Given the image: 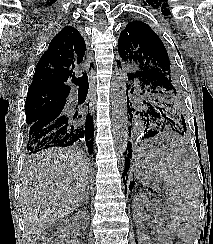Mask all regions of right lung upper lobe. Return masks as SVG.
Here are the masks:
<instances>
[{
    "instance_id": "right-lung-upper-lobe-1",
    "label": "right lung upper lobe",
    "mask_w": 213,
    "mask_h": 244,
    "mask_svg": "<svg viewBox=\"0 0 213 244\" xmlns=\"http://www.w3.org/2000/svg\"><path fill=\"white\" fill-rule=\"evenodd\" d=\"M85 50L79 31L72 26L64 27L51 40L48 50L37 63L27 97L42 94L68 97V78L83 61Z\"/></svg>"
}]
</instances>
